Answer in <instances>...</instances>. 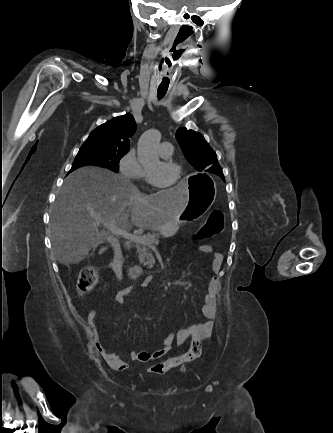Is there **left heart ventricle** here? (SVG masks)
I'll list each match as a JSON object with an SVG mask.
<instances>
[{
  "mask_svg": "<svg viewBox=\"0 0 333 433\" xmlns=\"http://www.w3.org/2000/svg\"><path fill=\"white\" fill-rule=\"evenodd\" d=\"M147 170L151 174L152 178L156 181V183L163 186H169L176 178L175 169L164 165L162 161L159 160L149 165L147 167Z\"/></svg>",
  "mask_w": 333,
  "mask_h": 433,
  "instance_id": "left-heart-ventricle-1",
  "label": "left heart ventricle"
}]
</instances>
